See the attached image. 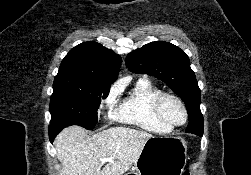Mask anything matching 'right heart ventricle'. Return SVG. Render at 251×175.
<instances>
[{
  "instance_id": "right-heart-ventricle-1",
  "label": "right heart ventricle",
  "mask_w": 251,
  "mask_h": 175,
  "mask_svg": "<svg viewBox=\"0 0 251 175\" xmlns=\"http://www.w3.org/2000/svg\"><path fill=\"white\" fill-rule=\"evenodd\" d=\"M161 90L147 79L138 80L123 100L117 119L156 135H168L172 130L161 124L152 110V102Z\"/></svg>"
}]
</instances>
